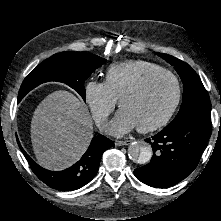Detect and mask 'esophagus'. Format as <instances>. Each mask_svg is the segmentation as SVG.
I'll use <instances>...</instances> for the list:
<instances>
[{
	"mask_svg": "<svg viewBox=\"0 0 221 221\" xmlns=\"http://www.w3.org/2000/svg\"><path fill=\"white\" fill-rule=\"evenodd\" d=\"M133 142V140H125V141H116L115 145L116 146H124V145H129Z\"/></svg>",
	"mask_w": 221,
	"mask_h": 221,
	"instance_id": "obj_1",
	"label": "esophagus"
}]
</instances>
